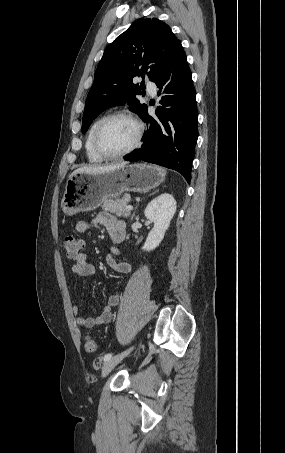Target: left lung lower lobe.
<instances>
[{
    "instance_id": "left-lung-lower-lobe-1",
    "label": "left lung lower lobe",
    "mask_w": 285,
    "mask_h": 453,
    "mask_svg": "<svg viewBox=\"0 0 285 453\" xmlns=\"http://www.w3.org/2000/svg\"><path fill=\"white\" fill-rule=\"evenodd\" d=\"M153 82L159 88L160 104L156 115L141 117L148 125L140 149L127 154V161L143 160L181 173L188 183L198 137L196 92L181 43L170 53Z\"/></svg>"
}]
</instances>
